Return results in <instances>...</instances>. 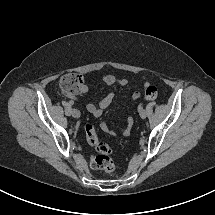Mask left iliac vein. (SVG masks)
Wrapping results in <instances>:
<instances>
[{
	"instance_id": "left-iliac-vein-1",
	"label": "left iliac vein",
	"mask_w": 215,
	"mask_h": 215,
	"mask_svg": "<svg viewBox=\"0 0 215 215\" xmlns=\"http://www.w3.org/2000/svg\"><path fill=\"white\" fill-rule=\"evenodd\" d=\"M146 116H147V113L145 110H143V113H140V117L144 119L146 118Z\"/></svg>"
}]
</instances>
